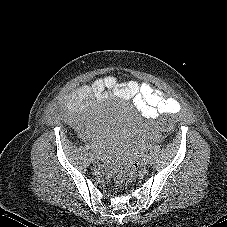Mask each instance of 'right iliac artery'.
I'll use <instances>...</instances> for the list:
<instances>
[{"mask_svg":"<svg viewBox=\"0 0 227 227\" xmlns=\"http://www.w3.org/2000/svg\"><path fill=\"white\" fill-rule=\"evenodd\" d=\"M85 148H86L87 150L90 149L89 145H87V144L85 145Z\"/></svg>","mask_w":227,"mask_h":227,"instance_id":"right-iliac-artery-1","label":"right iliac artery"}]
</instances>
